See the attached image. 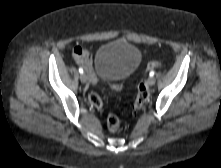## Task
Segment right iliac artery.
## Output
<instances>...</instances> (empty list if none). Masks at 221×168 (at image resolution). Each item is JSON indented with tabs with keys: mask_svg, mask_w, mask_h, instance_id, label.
Masks as SVG:
<instances>
[{
	"mask_svg": "<svg viewBox=\"0 0 221 168\" xmlns=\"http://www.w3.org/2000/svg\"><path fill=\"white\" fill-rule=\"evenodd\" d=\"M79 73L83 74V69L82 68H79Z\"/></svg>",
	"mask_w": 221,
	"mask_h": 168,
	"instance_id": "obj_1",
	"label": "right iliac artery"
}]
</instances>
